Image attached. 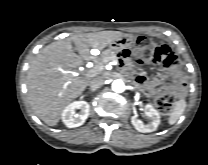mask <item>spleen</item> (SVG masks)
I'll return each mask as SVG.
<instances>
[{
	"label": "spleen",
	"mask_w": 208,
	"mask_h": 165,
	"mask_svg": "<svg viewBox=\"0 0 208 165\" xmlns=\"http://www.w3.org/2000/svg\"><path fill=\"white\" fill-rule=\"evenodd\" d=\"M186 105L187 104H186V101L184 98H181L180 100H178L175 103L174 108L168 118V123L170 125H173L177 122V120L180 118V116L184 113Z\"/></svg>",
	"instance_id": "spleen-1"
}]
</instances>
